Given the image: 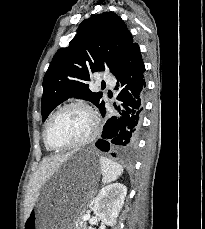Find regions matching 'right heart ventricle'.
<instances>
[{"mask_svg": "<svg viewBox=\"0 0 205 229\" xmlns=\"http://www.w3.org/2000/svg\"><path fill=\"white\" fill-rule=\"evenodd\" d=\"M49 119H50V118H49ZM49 119L46 121V123H45V125H44V128H43V140H44V131H45V128H46V125H47ZM44 143H45V142H44ZM45 147H46V149H47L48 151H50V149L46 146V144H45Z\"/></svg>", "mask_w": 205, "mask_h": 229, "instance_id": "e07e8e85", "label": "right heart ventricle"}]
</instances>
